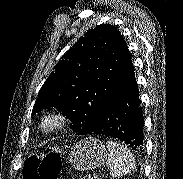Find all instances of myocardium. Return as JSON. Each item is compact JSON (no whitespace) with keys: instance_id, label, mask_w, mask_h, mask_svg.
<instances>
[{"instance_id":"myocardium-1","label":"myocardium","mask_w":183,"mask_h":179,"mask_svg":"<svg viewBox=\"0 0 183 179\" xmlns=\"http://www.w3.org/2000/svg\"><path fill=\"white\" fill-rule=\"evenodd\" d=\"M67 124V117L60 111H51L44 115L41 120V128L46 132L61 129Z\"/></svg>"}]
</instances>
